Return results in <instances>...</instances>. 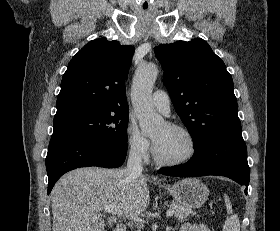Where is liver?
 Returning a JSON list of instances; mask_svg holds the SVG:
<instances>
[{
    "label": "liver",
    "instance_id": "obj_1",
    "mask_svg": "<svg viewBox=\"0 0 280 231\" xmlns=\"http://www.w3.org/2000/svg\"><path fill=\"white\" fill-rule=\"evenodd\" d=\"M148 177L130 175L126 169L78 167L62 175L51 191L53 231H104L100 211L111 205L119 213L108 219H133L150 201ZM117 215V217H115Z\"/></svg>",
    "mask_w": 280,
    "mask_h": 231
}]
</instances>
